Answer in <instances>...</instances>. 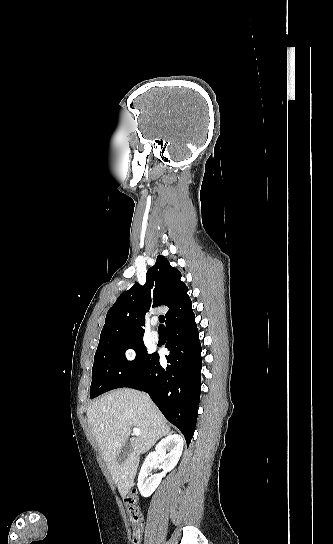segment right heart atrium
<instances>
[{"instance_id": "right-heart-atrium-1", "label": "right heart atrium", "mask_w": 333, "mask_h": 544, "mask_svg": "<svg viewBox=\"0 0 333 544\" xmlns=\"http://www.w3.org/2000/svg\"><path fill=\"white\" fill-rule=\"evenodd\" d=\"M123 359L125 362L127 363H130V362H133L136 358V352H135V349H133L132 347H126L124 350H123Z\"/></svg>"}]
</instances>
